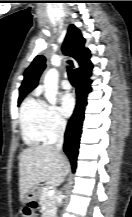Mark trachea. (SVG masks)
Returning a JSON list of instances; mask_svg holds the SVG:
<instances>
[{
	"label": "trachea",
	"mask_w": 132,
	"mask_h": 217,
	"mask_svg": "<svg viewBox=\"0 0 132 217\" xmlns=\"http://www.w3.org/2000/svg\"><path fill=\"white\" fill-rule=\"evenodd\" d=\"M68 64H69L70 66H72V61L69 60V61H68ZM70 66H67L68 77H69V80H70L71 84H72L73 86H75V85H76V82H77V80H76V75H75V73L73 72V70H72V68H71Z\"/></svg>",
	"instance_id": "1"
}]
</instances>
